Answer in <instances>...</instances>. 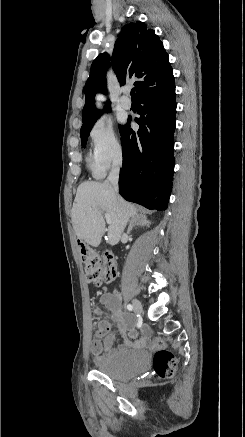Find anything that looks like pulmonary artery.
Instances as JSON below:
<instances>
[{
    "instance_id": "1",
    "label": "pulmonary artery",
    "mask_w": 245,
    "mask_h": 437,
    "mask_svg": "<svg viewBox=\"0 0 245 437\" xmlns=\"http://www.w3.org/2000/svg\"><path fill=\"white\" fill-rule=\"evenodd\" d=\"M128 93H129V89L125 88L123 90V95H122V97L120 98V101H119L120 106L123 109H130L131 108V100L128 98Z\"/></svg>"
}]
</instances>
